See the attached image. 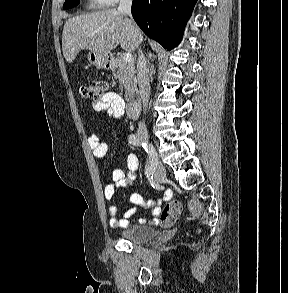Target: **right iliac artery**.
Returning a JSON list of instances; mask_svg holds the SVG:
<instances>
[{"instance_id": "obj_1", "label": "right iliac artery", "mask_w": 288, "mask_h": 293, "mask_svg": "<svg viewBox=\"0 0 288 293\" xmlns=\"http://www.w3.org/2000/svg\"><path fill=\"white\" fill-rule=\"evenodd\" d=\"M129 143L135 145V146H142L146 152L149 154V165L146 167V174H150V170H158L159 164H161V159H159V156H156V149L155 147H148L146 143L141 142L139 138L131 134L129 136Z\"/></svg>"}]
</instances>
